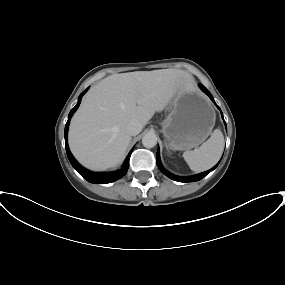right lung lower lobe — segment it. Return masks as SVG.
<instances>
[{"instance_id": "98d812e1", "label": "right lung lower lobe", "mask_w": 285, "mask_h": 285, "mask_svg": "<svg viewBox=\"0 0 285 285\" xmlns=\"http://www.w3.org/2000/svg\"><path fill=\"white\" fill-rule=\"evenodd\" d=\"M88 89H86L85 91H83L79 98H78V103L76 104V106L70 111L69 115H68V121L66 123L65 126V148H66V152H67V156L68 159L70 161V163L72 164V166L90 183H110V182H114L118 179H120L122 176H124L127 172V169L129 168V159L131 156V152L129 153V155L127 156L125 163L123 165V167L120 170L117 171H113V172H107V173H99V172H91L86 170L85 168H83L73 157V155L71 154L69 147H68V142H67V133H68V127H69V123H70V118L72 117L73 113L76 111V109L79 107V104L81 102V98L84 95V93L87 91Z\"/></svg>"}]
</instances>
